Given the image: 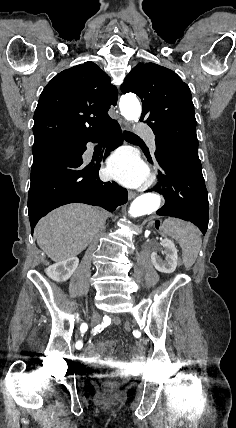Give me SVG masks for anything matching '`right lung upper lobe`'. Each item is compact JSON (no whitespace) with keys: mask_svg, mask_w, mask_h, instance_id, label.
<instances>
[{"mask_svg":"<svg viewBox=\"0 0 236 428\" xmlns=\"http://www.w3.org/2000/svg\"><path fill=\"white\" fill-rule=\"evenodd\" d=\"M118 91L110 77L88 61L56 75L43 89L34 113V144L80 138L111 119ZM91 126V127H90Z\"/></svg>","mask_w":236,"mask_h":428,"instance_id":"right-lung-upper-lobe-1","label":"right lung upper lobe"}]
</instances>
